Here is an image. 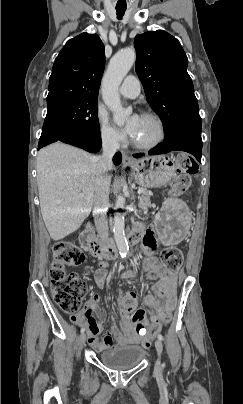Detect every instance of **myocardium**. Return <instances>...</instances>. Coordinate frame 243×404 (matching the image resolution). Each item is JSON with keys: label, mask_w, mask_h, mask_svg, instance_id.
Returning <instances> with one entry per match:
<instances>
[{"label": "myocardium", "mask_w": 243, "mask_h": 404, "mask_svg": "<svg viewBox=\"0 0 243 404\" xmlns=\"http://www.w3.org/2000/svg\"><path fill=\"white\" fill-rule=\"evenodd\" d=\"M125 34H136V32H129ZM142 117L151 118L156 121L158 128H159V135L156 140L151 143H139L131 140L132 146L136 149L140 150H152L159 147L167 137V127L164 119L157 113L152 111H146L142 114Z\"/></svg>", "instance_id": "myocardium-1"}]
</instances>
